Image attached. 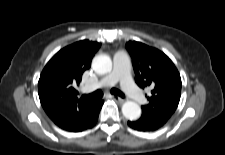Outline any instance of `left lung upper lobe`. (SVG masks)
Listing matches in <instances>:
<instances>
[{"instance_id":"left-lung-upper-lobe-1","label":"left lung upper lobe","mask_w":225,"mask_h":155,"mask_svg":"<svg viewBox=\"0 0 225 155\" xmlns=\"http://www.w3.org/2000/svg\"><path fill=\"white\" fill-rule=\"evenodd\" d=\"M126 49L132 57L136 83L143 89L152 88L142 115L170 118L179 104L182 85L175 65L163 52L140 42L129 41Z\"/></svg>"}]
</instances>
